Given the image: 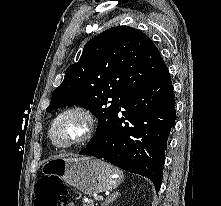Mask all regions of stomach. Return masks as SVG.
Masks as SVG:
<instances>
[{
  "mask_svg": "<svg viewBox=\"0 0 221 206\" xmlns=\"http://www.w3.org/2000/svg\"><path fill=\"white\" fill-rule=\"evenodd\" d=\"M42 171L45 175L58 176L85 194L115 189L123 181L119 169L93 157L52 158L45 162Z\"/></svg>",
  "mask_w": 221,
  "mask_h": 206,
  "instance_id": "obj_1",
  "label": "stomach"
}]
</instances>
